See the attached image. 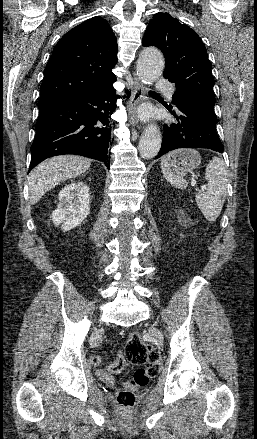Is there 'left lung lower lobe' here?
I'll list each match as a JSON object with an SVG mask.
<instances>
[{
  "mask_svg": "<svg viewBox=\"0 0 257 439\" xmlns=\"http://www.w3.org/2000/svg\"><path fill=\"white\" fill-rule=\"evenodd\" d=\"M176 111L167 109L176 121L164 125L162 145L155 159L178 148H206L223 153L217 132V118L213 111L193 102L188 97L180 96L175 91L172 96Z\"/></svg>",
  "mask_w": 257,
  "mask_h": 439,
  "instance_id": "1",
  "label": "left lung lower lobe"
}]
</instances>
